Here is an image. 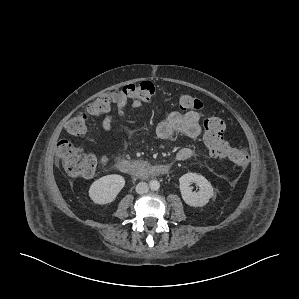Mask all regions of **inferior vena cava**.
I'll return each mask as SVG.
<instances>
[{
  "instance_id": "obj_1",
  "label": "inferior vena cava",
  "mask_w": 299,
  "mask_h": 299,
  "mask_svg": "<svg viewBox=\"0 0 299 299\" xmlns=\"http://www.w3.org/2000/svg\"><path fill=\"white\" fill-rule=\"evenodd\" d=\"M149 190V186L146 182H139L137 185H136V192L138 194H145L147 193Z\"/></svg>"
}]
</instances>
